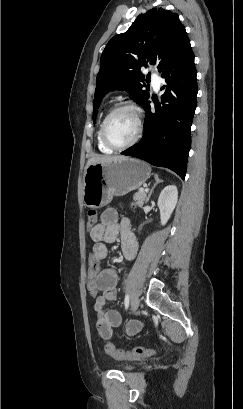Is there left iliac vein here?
Listing matches in <instances>:
<instances>
[{
	"label": "left iliac vein",
	"mask_w": 243,
	"mask_h": 409,
	"mask_svg": "<svg viewBox=\"0 0 243 409\" xmlns=\"http://www.w3.org/2000/svg\"><path fill=\"white\" fill-rule=\"evenodd\" d=\"M138 307H139V299H138V298H134V299L132 300V302H131L132 312H133V313L137 312Z\"/></svg>",
	"instance_id": "4c4485c4"
}]
</instances>
